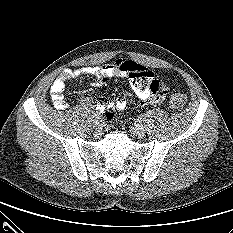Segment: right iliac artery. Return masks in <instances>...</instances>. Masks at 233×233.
<instances>
[{"mask_svg":"<svg viewBox=\"0 0 233 233\" xmlns=\"http://www.w3.org/2000/svg\"><path fill=\"white\" fill-rule=\"evenodd\" d=\"M100 117H101V115H100L99 112H96V113L94 114L95 121L100 120V119H101Z\"/></svg>","mask_w":233,"mask_h":233,"instance_id":"1","label":"right iliac artery"}]
</instances>
